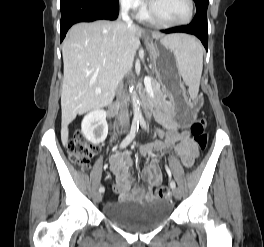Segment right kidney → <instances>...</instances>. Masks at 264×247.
<instances>
[{"label": "right kidney", "instance_id": "1", "mask_svg": "<svg viewBox=\"0 0 264 247\" xmlns=\"http://www.w3.org/2000/svg\"><path fill=\"white\" fill-rule=\"evenodd\" d=\"M81 130L89 142L94 144L103 142L108 134L106 112L97 109L88 113L82 120Z\"/></svg>", "mask_w": 264, "mask_h": 247}]
</instances>
